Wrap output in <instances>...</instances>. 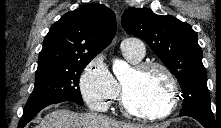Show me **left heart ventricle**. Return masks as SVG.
<instances>
[{"label":"left heart ventricle","mask_w":221,"mask_h":128,"mask_svg":"<svg viewBox=\"0 0 221 128\" xmlns=\"http://www.w3.org/2000/svg\"><path fill=\"white\" fill-rule=\"evenodd\" d=\"M122 83L128 105L138 113L160 112L168 105L169 85L159 70L144 73L132 70Z\"/></svg>","instance_id":"obj_1"}]
</instances>
